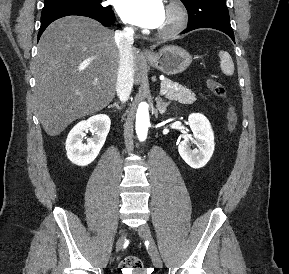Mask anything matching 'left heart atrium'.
I'll list each match as a JSON object with an SVG mask.
<instances>
[{"instance_id": "39dd6f15", "label": "left heart atrium", "mask_w": 289, "mask_h": 274, "mask_svg": "<svg viewBox=\"0 0 289 274\" xmlns=\"http://www.w3.org/2000/svg\"><path fill=\"white\" fill-rule=\"evenodd\" d=\"M116 7L122 19L145 28H158L165 13L162 0H117Z\"/></svg>"}]
</instances>
